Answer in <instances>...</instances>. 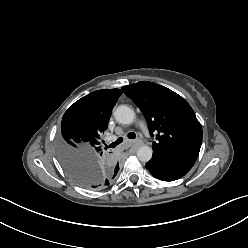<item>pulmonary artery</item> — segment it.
<instances>
[{
	"instance_id": "obj_1",
	"label": "pulmonary artery",
	"mask_w": 248,
	"mask_h": 248,
	"mask_svg": "<svg viewBox=\"0 0 248 248\" xmlns=\"http://www.w3.org/2000/svg\"><path fill=\"white\" fill-rule=\"evenodd\" d=\"M140 128H141V130H142L144 133L147 132V130H148L147 125H146L145 123H141V124H140Z\"/></svg>"
}]
</instances>
